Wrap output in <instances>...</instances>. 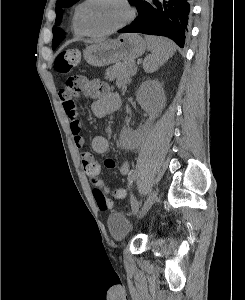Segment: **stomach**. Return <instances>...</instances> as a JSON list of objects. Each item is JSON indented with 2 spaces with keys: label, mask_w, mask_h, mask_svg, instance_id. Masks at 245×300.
I'll return each mask as SVG.
<instances>
[{
  "label": "stomach",
  "mask_w": 245,
  "mask_h": 300,
  "mask_svg": "<svg viewBox=\"0 0 245 300\" xmlns=\"http://www.w3.org/2000/svg\"><path fill=\"white\" fill-rule=\"evenodd\" d=\"M146 50L145 40L138 34L126 33L117 39L94 44L83 51L86 62L94 67L129 61L141 56Z\"/></svg>",
  "instance_id": "obj_1"
}]
</instances>
